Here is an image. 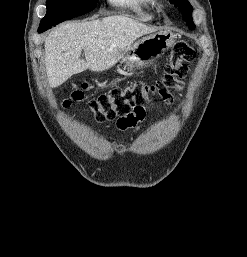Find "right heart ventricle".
I'll list each match as a JSON object with an SVG mask.
<instances>
[{"label": "right heart ventricle", "instance_id": "e07e8e85", "mask_svg": "<svg viewBox=\"0 0 247 257\" xmlns=\"http://www.w3.org/2000/svg\"><path fill=\"white\" fill-rule=\"evenodd\" d=\"M114 7L134 14L141 21H150L153 18L152 6L155 0H108Z\"/></svg>", "mask_w": 247, "mask_h": 257}]
</instances>
